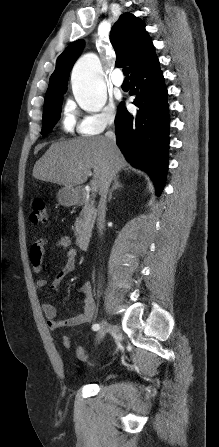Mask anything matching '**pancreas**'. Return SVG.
<instances>
[{"label": "pancreas", "mask_w": 219, "mask_h": 447, "mask_svg": "<svg viewBox=\"0 0 219 447\" xmlns=\"http://www.w3.org/2000/svg\"><path fill=\"white\" fill-rule=\"evenodd\" d=\"M96 210H83L75 222V236L80 234L90 235L96 218Z\"/></svg>", "instance_id": "pancreas-1"}]
</instances>
